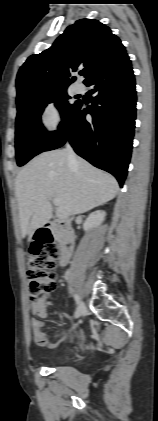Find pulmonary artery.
Segmentation results:
<instances>
[{
    "mask_svg": "<svg viewBox=\"0 0 158 421\" xmlns=\"http://www.w3.org/2000/svg\"><path fill=\"white\" fill-rule=\"evenodd\" d=\"M84 90V87L81 83L77 82L73 86V91L77 94L82 93Z\"/></svg>",
    "mask_w": 158,
    "mask_h": 421,
    "instance_id": "pulmonary-artery-1",
    "label": "pulmonary artery"
}]
</instances>
